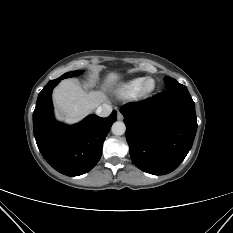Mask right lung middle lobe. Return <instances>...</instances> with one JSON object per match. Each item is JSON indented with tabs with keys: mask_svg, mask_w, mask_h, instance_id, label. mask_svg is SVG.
I'll return each mask as SVG.
<instances>
[{
	"mask_svg": "<svg viewBox=\"0 0 233 233\" xmlns=\"http://www.w3.org/2000/svg\"><path fill=\"white\" fill-rule=\"evenodd\" d=\"M83 71L80 70V71H72V72H68V73H65L63 74L61 77L58 78V80H62L64 78H70V77H74V76H78L80 74H82Z\"/></svg>",
	"mask_w": 233,
	"mask_h": 233,
	"instance_id": "obj_1",
	"label": "right lung middle lobe"
}]
</instances>
